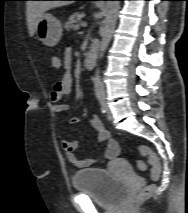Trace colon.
I'll return each mask as SVG.
<instances>
[{
    "label": "colon",
    "instance_id": "1",
    "mask_svg": "<svg viewBox=\"0 0 188 213\" xmlns=\"http://www.w3.org/2000/svg\"><path fill=\"white\" fill-rule=\"evenodd\" d=\"M51 64L54 68L60 67L59 61L53 56L51 57ZM138 151L141 155L147 157L148 162L152 166V173H151L152 178L157 179L159 177L160 171H161V165H160V161H159L157 155L155 153H153L149 149V147H147L145 145L139 146ZM136 166L140 171H144L146 169V164L143 161H138L136 163ZM151 192H152L151 186H147V185L141 186L133 193V195L130 198V202L132 204H138L141 201L145 200L147 197H149Z\"/></svg>",
    "mask_w": 188,
    "mask_h": 213
}]
</instances>
